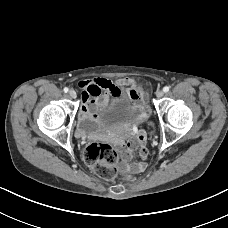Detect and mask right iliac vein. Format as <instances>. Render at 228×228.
Returning <instances> with one entry per match:
<instances>
[{"instance_id":"obj_1","label":"right iliac vein","mask_w":228,"mask_h":228,"mask_svg":"<svg viewBox=\"0 0 228 228\" xmlns=\"http://www.w3.org/2000/svg\"><path fill=\"white\" fill-rule=\"evenodd\" d=\"M69 95L71 98L75 99L77 97V93L74 90L69 91Z\"/></svg>"}]
</instances>
